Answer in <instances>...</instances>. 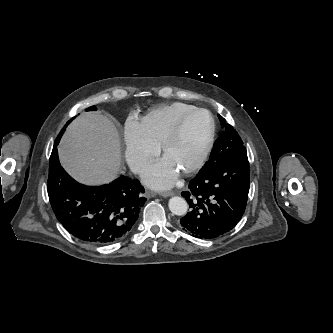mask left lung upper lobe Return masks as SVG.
Segmentation results:
<instances>
[{
  "label": "left lung upper lobe",
  "instance_id": "obj_1",
  "mask_svg": "<svg viewBox=\"0 0 333 333\" xmlns=\"http://www.w3.org/2000/svg\"><path fill=\"white\" fill-rule=\"evenodd\" d=\"M218 117L223 128L222 133H225L226 136L223 139L218 138L216 140L209 160L205 165L211 162L221 163L228 159L247 154L243 141L236 130L231 125L227 124L222 116L218 115Z\"/></svg>",
  "mask_w": 333,
  "mask_h": 333
}]
</instances>
